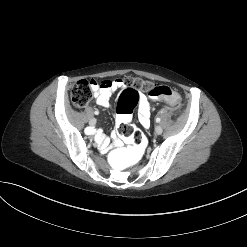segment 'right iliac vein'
Instances as JSON below:
<instances>
[{
	"label": "right iliac vein",
	"instance_id": "right-iliac-vein-1",
	"mask_svg": "<svg viewBox=\"0 0 247 247\" xmlns=\"http://www.w3.org/2000/svg\"><path fill=\"white\" fill-rule=\"evenodd\" d=\"M89 124L91 126H94L96 124V119L95 118H91L90 121H89Z\"/></svg>",
	"mask_w": 247,
	"mask_h": 247
}]
</instances>
